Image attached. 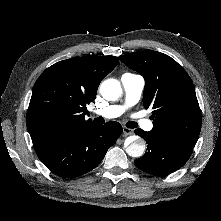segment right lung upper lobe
Here are the masks:
<instances>
[{
	"mask_svg": "<svg viewBox=\"0 0 221 221\" xmlns=\"http://www.w3.org/2000/svg\"><path fill=\"white\" fill-rule=\"evenodd\" d=\"M118 62L115 56L89 55L57 62L40 75L26 118L35 148L58 134L94 124L85 119L86 106Z\"/></svg>",
	"mask_w": 221,
	"mask_h": 221,
	"instance_id": "cb5924a9",
	"label": "right lung upper lobe"
}]
</instances>
